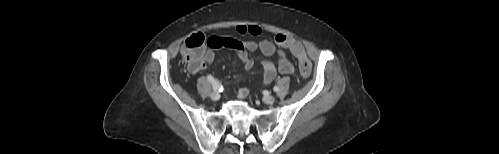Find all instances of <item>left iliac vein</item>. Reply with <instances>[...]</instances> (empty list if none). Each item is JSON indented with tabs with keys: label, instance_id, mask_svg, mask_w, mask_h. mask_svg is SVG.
<instances>
[{
	"label": "left iliac vein",
	"instance_id": "4c4485c4",
	"mask_svg": "<svg viewBox=\"0 0 499 154\" xmlns=\"http://www.w3.org/2000/svg\"><path fill=\"white\" fill-rule=\"evenodd\" d=\"M262 101L266 104H272L275 101V96L273 95H266L263 97Z\"/></svg>",
	"mask_w": 499,
	"mask_h": 154
}]
</instances>
